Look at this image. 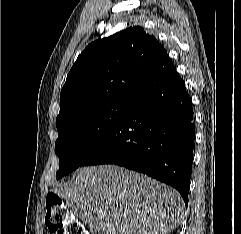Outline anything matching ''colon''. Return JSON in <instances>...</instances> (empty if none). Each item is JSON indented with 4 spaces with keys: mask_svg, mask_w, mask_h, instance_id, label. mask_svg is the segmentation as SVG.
I'll list each match as a JSON object with an SVG mask.
<instances>
[{
    "mask_svg": "<svg viewBox=\"0 0 241 234\" xmlns=\"http://www.w3.org/2000/svg\"><path fill=\"white\" fill-rule=\"evenodd\" d=\"M46 210V224L53 234H86L59 196H47Z\"/></svg>",
    "mask_w": 241,
    "mask_h": 234,
    "instance_id": "obj_1",
    "label": "colon"
}]
</instances>
